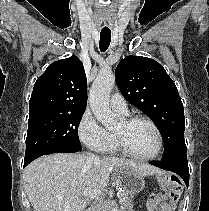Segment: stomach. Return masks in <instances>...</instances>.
I'll return each mask as SVG.
<instances>
[{
  "label": "stomach",
  "mask_w": 209,
  "mask_h": 211,
  "mask_svg": "<svg viewBox=\"0 0 209 211\" xmlns=\"http://www.w3.org/2000/svg\"><path fill=\"white\" fill-rule=\"evenodd\" d=\"M118 181L123 191L131 197L141 192L145 186L143 178L130 169L120 170Z\"/></svg>",
  "instance_id": "0dacf381"
}]
</instances>
